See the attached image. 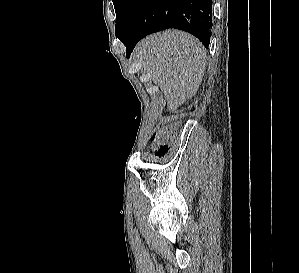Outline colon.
<instances>
[{"label":"colon","instance_id":"1","mask_svg":"<svg viewBox=\"0 0 299 273\" xmlns=\"http://www.w3.org/2000/svg\"><path fill=\"white\" fill-rule=\"evenodd\" d=\"M174 135V124L160 123L157 126L151 137V143L156 156L163 157L167 154Z\"/></svg>","mask_w":299,"mask_h":273}]
</instances>
